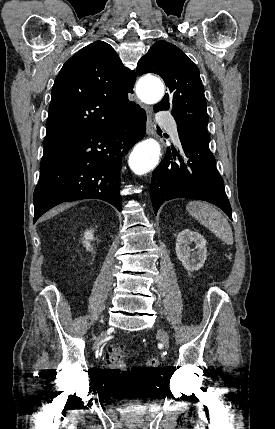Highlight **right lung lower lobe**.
I'll list each match as a JSON object with an SVG mask.
<instances>
[{"label":"right lung lower lobe","mask_w":275,"mask_h":429,"mask_svg":"<svg viewBox=\"0 0 275 429\" xmlns=\"http://www.w3.org/2000/svg\"><path fill=\"white\" fill-rule=\"evenodd\" d=\"M145 127L146 113L135 104L118 122L44 147L33 195L34 223L57 204L81 199H101L121 211V159L143 138Z\"/></svg>","instance_id":"right-lung-lower-lobe-1"}]
</instances>
